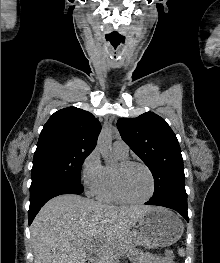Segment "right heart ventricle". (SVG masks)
<instances>
[{
	"mask_svg": "<svg viewBox=\"0 0 220 263\" xmlns=\"http://www.w3.org/2000/svg\"><path fill=\"white\" fill-rule=\"evenodd\" d=\"M115 155L120 160H125L127 156H122L115 152ZM112 171L113 168L106 166L103 169V179L96 193L97 197L104 202H117L119 199L114 193L113 182H112Z\"/></svg>",
	"mask_w": 220,
	"mask_h": 263,
	"instance_id": "obj_1",
	"label": "right heart ventricle"
}]
</instances>
